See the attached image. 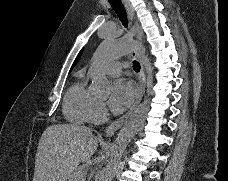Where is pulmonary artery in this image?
I'll use <instances>...</instances> for the list:
<instances>
[{"mask_svg":"<svg viewBox=\"0 0 228 181\" xmlns=\"http://www.w3.org/2000/svg\"><path fill=\"white\" fill-rule=\"evenodd\" d=\"M107 70H121V65H107Z\"/></svg>","mask_w":228,"mask_h":181,"instance_id":"obj_1","label":"pulmonary artery"}]
</instances>
